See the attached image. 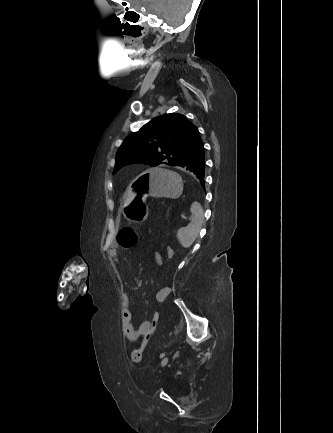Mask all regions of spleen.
<instances>
[{
    "label": "spleen",
    "instance_id": "3e777b00",
    "mask_svg": "<svg viewBox=\"0 0 333 433\" xmlns=\"http://www.w3.org/2000/svg\"><path fill=\"white\" fill-rule=\"evenodd\" d=\"M191 212L193 214L191 222L186 227L180 228L177 233L179 242L185 248L194 243L203 223L202 209L198 203L192 204Z\"/></svg>",
    "mask_w": 333,
    "mask_h": 433
}]
</instances>
